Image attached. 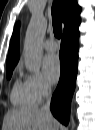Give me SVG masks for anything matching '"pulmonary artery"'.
<instances>
[{"instance_id":"pulmonary-artery-1","label":"pulmonary artery","mask_w":95,"mask_h":130,"mask_svg":"<svg viewBox=\"0 0 95 130\" xmlns=\"http://www.w3.org/2000/svg\"><path fill=\"white\" fill-rule=\"evenodd\" d=\"M43 46L49 52H54L58 48V45L54 40H46Z\"/></svg>"}]
</instances>
